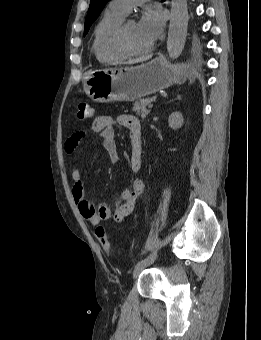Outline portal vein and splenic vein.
Here are the masks:
<instances>
[{
    "label": "portal vein and splenic vein",
    "instance_id": "portal-vein-and-splenic-vein-1",
    "mask_svg": "<svg viewBox=\"0 0 261 340\" xmlns=\"http://www.w3.org/2000/svg\"><path fill=\"white\" fill-rule=\"evenodd\" d=\"M148 108H149V109H152V108H153V104H149V105H148Z\"/></svg>",
    "mask_w": 261,
    "mask_h": 340
}]
</instances>
